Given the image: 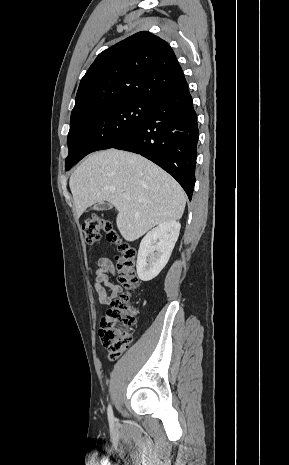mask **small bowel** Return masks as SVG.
Listing matches in <instances>:
<instances>
[{"label": "small bowel", "instance_id": "small-bowel-1", "mask_svg": "<svg viewBox=\"0 0 289 465\" xmlns=\"http://www.w3.org/2000/svg\"><path fill=\"white\" fill-rule=\"evenodd\" d=\"M96 265L95 292L101 304L109 305L122 293L121 286L113 281L116 276V269L112 261L104 257L99 258Z\"/></svg>", "mask_w": 289, "mask_h": 465}]
</instances>
